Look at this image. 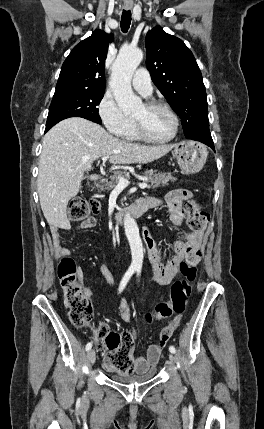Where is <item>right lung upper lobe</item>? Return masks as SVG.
Returning <instances> with one entry per match:
<instances>
[{
    "mask_svg": "<svg viewBox=\"0 0 264 429\" xmlns=\"http://www.w3.org/2000/svg\"><path fill=\"white\" fill-rule=\"evenodd\" d=\"M112 40L111 34L96 30L78 43L62 65L56 90L105 91V59Z\"/></svg>",
    "mask_w": 264,
    "mask_h": 429,
    "instance_id": "1",
    "label": "right lung upper lobe"
}]
</instances>
